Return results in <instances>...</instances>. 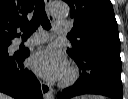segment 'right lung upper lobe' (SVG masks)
Listing matches in <instances>:
<instances>
[{
    "label": "right lung upper lobe",
    "mask_w": 128,
    "mask_h": 99,
    "mask_svg": "<svg viewBox=\"0 0 128 99\" xmlns=\"http://www.w3.org/2000/svg\"><path fill=\"white\" fill-rule=\"evenodd\" d=\"M34 4L35 0H0V42H9L19 36L17 27L28 21L27 14Z\"/></svg>",
    "instance_id": "obj_1"
}]
</instances>
